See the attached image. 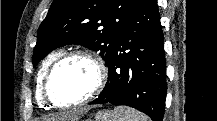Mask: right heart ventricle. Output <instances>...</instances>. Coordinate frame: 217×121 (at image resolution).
Segmentation results:
<instances>
[{
	"instance_id": "e07e8e85",
	"label": "right heart ventricle",
	"mask_w": 217,
	"mask_h": 121,
	"mask_svg": "<svg viewBox=\"0 0 217 121\" xmlns=\"http://www.w3.org/2000/svg\"><path fill=\"white\" fill-rule=\"evenodd\" d=\"M62 55L61 50L50 53L43 60L36 78V100L41 107H49L44 95H43V82L45 75L50 66Z\"/></svg>"
}]
</instances>
